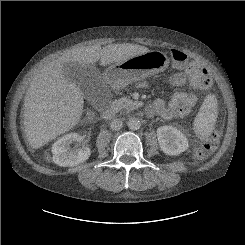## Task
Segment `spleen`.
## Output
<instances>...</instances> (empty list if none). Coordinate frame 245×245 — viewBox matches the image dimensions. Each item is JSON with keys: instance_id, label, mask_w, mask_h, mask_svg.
Here are the masks:
<instances>
[{"instance_id": "1", "label": "spleen", "mask_w": 245, "mask_h": 245, "mask_svg": "<svg viewBox=\"0 0 245 245\" xmlns=\"http://www.w3.org/2000/svg\"><path fill=\"white\" fill-rule=\"evenodd\" d=\"M217 113V99L214 95H208L194 120V131L200 139L208 137L214 129Z\"/></svg>"}]
</instances>
